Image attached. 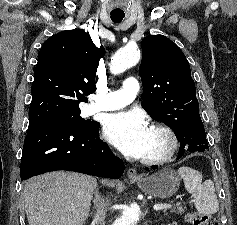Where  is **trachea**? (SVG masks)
I'll return each instance as SVG.
<instances>
[{"mask_svg": "<svg viewBox=\"0 0 237 225\" xmlns=\"http://www.w3.org/2000/svg\"><path fill=\"white\" fill-rule=\"evenodd\" d=\"M124 18V15L123 14H113L111 13V20L114 22V23H119L123 20Z\"/></svg>", "mask_w": 237, "mask_h": 225, "instance_id": "3493384b", "label": "trachea"}]
</instances>
